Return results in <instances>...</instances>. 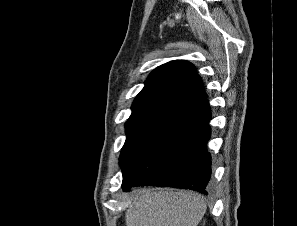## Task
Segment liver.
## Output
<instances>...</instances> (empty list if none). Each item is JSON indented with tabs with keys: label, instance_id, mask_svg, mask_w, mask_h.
Segmentation results:
<instances>
[{
	"label": "liver",
	"instance_id": "6515ba94",
	"mask_svg": "<svg viewBox=\"0 0 297 226\" xmlns=\"http://www.w3.org/2000/svg\"><path fill=\"white\" fill-rule=\"evenodd\" d=\"M203 198L193 192L137 191L126 211V226H197L206 213Z\"/></svg>",
	"mask_w": 297,
	"mask_h": 226
}]
</instances>
